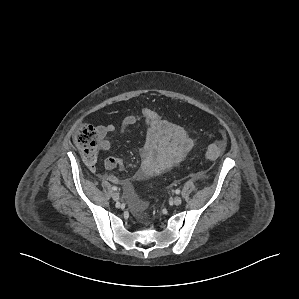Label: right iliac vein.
<instances>
[{"mask_svg": "<svg viewBox=\"0 0 299 299\" xmlns=\"http://www.w3.org/2000/svg\"><path fill=\"white\" fill-rule=\"evenodd\" d=\"M111 196H112L113 200H115V201H118L120 199L119 193H117V192H113L111 194Z\"/></svg>", "mask_w": 299, "mask_h": 299, "instance_id": "63e3f726", "label": "right iliac vein"}]
</instances>
